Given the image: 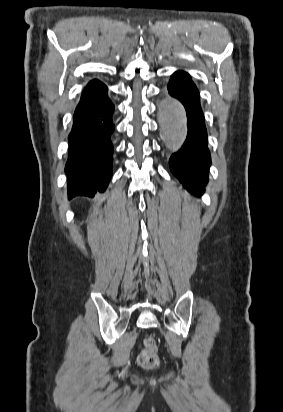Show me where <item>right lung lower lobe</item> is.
Wrapping results in <instances>:
<instances>
[{"label":"right lung lower lobe","mask_w":283,"mask_h":412,"mask_svg":"<svg viewBox=\"0 0 283 412\" xmlns=\"http://www.w3.org/2000/svg\"><path fill=\"white\" fill-rule=\"evenodd\" d=\"M107 87L91 81L81 96L75 113L69 141V158L65 172L68 196L93 197L107 187L112 175V122L114 105Z\"/></svg>","instance_id":"98d812e1"}]
</instances>
